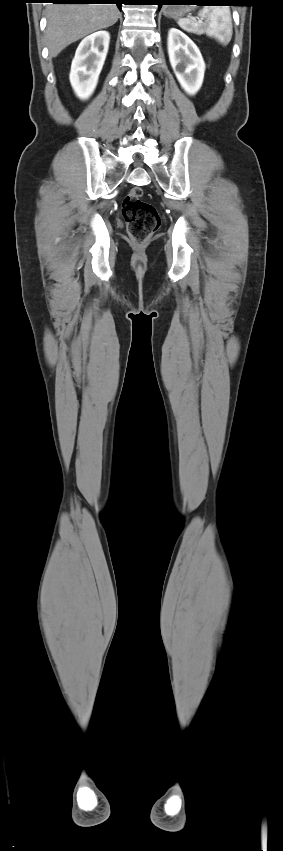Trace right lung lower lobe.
Listing matches in <instances>:
<instances>
[{"label": "right lung lower lobe", "mask_w": 283, "mask_h": 851, "mask_svg": "<svg viewBox=\"0 0 283 851\" xmlns=\"http://www.w3.org/2000/svg\"><path fill=\"white\" fill-rule=\"evenodd\" d=\"M48 3H59V4H117L118 8L121 7V4L125 3L126 0H46Z\"/></svg>", "instance_id": "98d812e1"}]
</instances>
